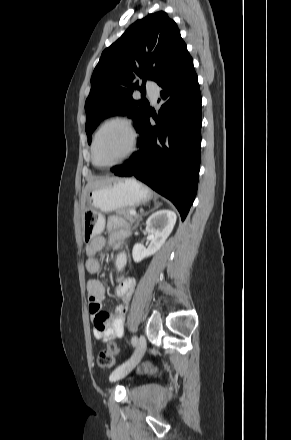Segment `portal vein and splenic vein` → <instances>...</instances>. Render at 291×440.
Here are the masks:
<instances>
[{"label": "portal vein and splenic vein", "mask_w": 291, "mask_h": 440, "mask_svg": "<svg viewBox=\"0 0 291 440\" xmlns=\"http://www.w3.org/2000/svg\"><path fill=\"white\" fill-rule=\"evenodd\" d=\"M130 214L133 216H136V211L132 209V210H130Z\"/></svg>", "instance_id": "1"}]
</instances>
